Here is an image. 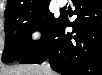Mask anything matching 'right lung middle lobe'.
Masks as SVG:
<instances>
[{
	"instance_id": "obj_1",
	"label": "right lung middle lobe",
	"mask_w": 102,
	"mask_h": 75,
	"mask_svg": "<svg viewBox=\"0 0 102 75\" xmlns=\"http://www.w3.org/2000/svg\"><path fill=\"white\" fill-rule=\"evenodd\" d=\"M60 17L55 18L49 11V3L30 11H22L5 16V47L2 55L4 63L19 61L41 45ZM41 31L42 38L32 42L33 31Z\"/></svg>"
}]
</instances>
